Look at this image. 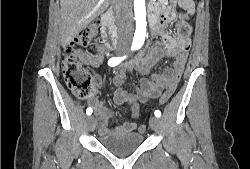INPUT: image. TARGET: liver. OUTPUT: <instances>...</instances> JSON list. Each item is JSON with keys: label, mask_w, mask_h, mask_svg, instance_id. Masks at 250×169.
<instances>
[{"label": "liver", "mask_w": 250, "mask_h": 169, "mask_svg": "<svg viewBox=\"0 0 250 169\" xmlns=\"http://www.w3.org/2000/svg\"><path fill=\"white\" fill-rule=\"evenodd\" d=\"M111 0H60L61 40L69 44L80 30L108 8Z\"/></svg>", "instance_id": "obj_1"}]
</instances>
